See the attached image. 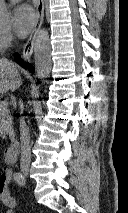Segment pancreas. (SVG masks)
I'll list each match as a JSON object with an SVG mask.
<instances>
[{
	"mask_svg": "<svg viewBox=\"0 0 128 213\" xmlns=\"http://www.w3.org/2000/svg\"><path fill=\"white\" fill-rule=\"evenodd\" d=\"M0 136H13V118L8 109L0 110Z\"/></svg>",
	"mask_w": 128,
	"mask_h": 213,
	"instance_id": "1",
	"label": "pancreas"
}]
</instances>
